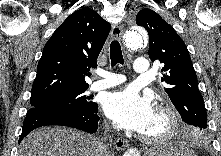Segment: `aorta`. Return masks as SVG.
<instances>
[{
	"label": "aorta",
	"mask_w": 221,
	"mask_h": 156,
	"mask_svg": "<svg viewBox=\"0 0 221 156\" xmlns=\"http://www.w3.org/2000/svg\"><path fill=\"white\" fill-rule=\"evenodd\" d=\"M124 42L127 48L138 50L148 43V36L144 29L140 27H131L124 34ZM125 156H139L138 153H127Z\"/></svg>",
	"instance_id": "1"
}]
</instances>
